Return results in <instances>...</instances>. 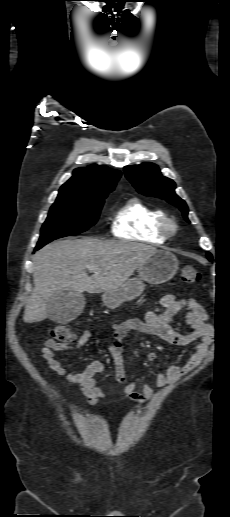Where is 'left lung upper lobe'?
Returning a JSON list of instances; mask_svg holds the SVG:
<instances>
[{
  "mask_svg": "<svg viewBox=\"0 0 230 517\" xmlns=\"http://www.w3.org/2000/svg\"><path fill=\"white\" fill-rule=\"evenodd\" d=\"M125 175L133 186L146 196H154L166 200L178 207L186 220H188V207L184 200L175 194V183L162 176L159 168L153 163L126 166ZM207 257L212 261V255L207 252Z\"/></svg>",
  "mask_w": 230,
  "mask_h": 517,
  "instance_id": "left-lung-upper-lobe-1",
  "label": "left lung upper lobe"
}]
</instances>
